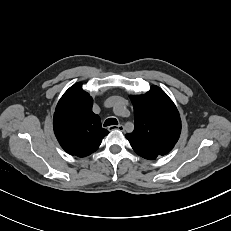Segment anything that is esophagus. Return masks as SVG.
<instances>
[{"instance_id": "1", "label": "esophagus", "mask_w": 231, "mask_h": 231, "mask_svg": "<svg viewBox=\"0 0 231 231\" xmlns=\"http://www.w3.org/2000/svg\"><path fill=\"white\" fill-rule=\"evenodd\" d=\"M108 130H110V131H113V130L124 131V126L123 125L110 126V127H108Z\"/></svg>"}]
</instances>
